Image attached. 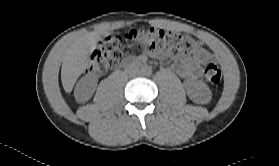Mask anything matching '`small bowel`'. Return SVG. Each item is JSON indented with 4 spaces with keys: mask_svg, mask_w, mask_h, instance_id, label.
<instances>
[{
    "mask_svg": "<svg viewBox=\"0 0 279 166\" xmlns=\"http://www.w3.org/2000/svg\"><path fill=\"white\" fill-rule=\"evenodd\" d=\"M210 59L211 54L207 50H201L194 57L183 58L180 63L174 65V69L181 77H195L198 74L199 66Z\"/></svg>",
    "mask_w": 279,
    "mask_h": 166,
    "instance_id": "obj_1",
    "label": "small bowel"
}]
</instances>
